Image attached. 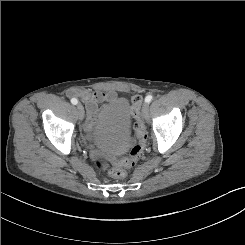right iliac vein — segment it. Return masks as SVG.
Returning <instances> with one entry per match:
<instances>
[{
	"label": "right iliac vein",
	"instance_id": "obj_1",
	"mask_svg": "<svg viewBox=\"0 0 245 245\" xmlns=\"http://www.w3.org/2000/svg\"><path fill=\"white\" fill-rule=\"evenodd\" d=\"M77 110H78V115H79V119L83 120L84 118V108L82 104H77Z\"/></svg>",
	"mask_w": 245,
	"mask_h": 245
}]
</instances>
